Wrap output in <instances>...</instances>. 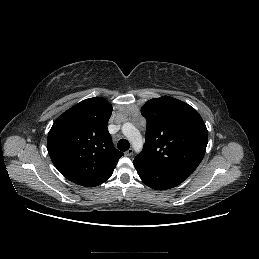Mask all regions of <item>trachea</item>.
Wrapping results in <instances>:
<instances>
[{"label": "trachea", "mask_w": 259, "mask_h": 259, "mask_svg": "<svg viewBox=\"0 0 259 259\" xmlns=\"http://www.w3.org/2000/svg\"><path fill=\"white\" fill-rule=\"evenodd\" d=\"M117 147L121 151H127L130 147V143L126 139H120L117 144Z\"/></svg>", "instance_id": "3493384b"}]
</instances>
